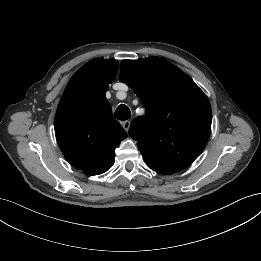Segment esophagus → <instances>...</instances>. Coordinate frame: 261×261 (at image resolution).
<instances>
[{"instance_id": "obj_1", "label": "esophagus", "mask_w": 261, "mask_h": 261, "mask_svg": "<svg viewBox=\"0 0 261 261\" xmlns=\"http://www.w3.org/2000/svg\"><path fill=\"white\" fill-rule=\"evenodd\" d=\"M131 122L129 120H126L124 122H122V126L123 128L128 132L129 128H130Z\"/></svg>"}]
</instances>
